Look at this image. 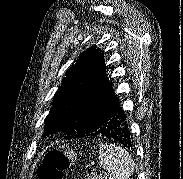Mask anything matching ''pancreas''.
<instances>
[{"label":"pancreas","mask_w":183,"mask_h":179,"mask_svg":"<svg viewBox=\"0 0 183 179\" xmlns=\"http://www.w3.org/2000/svg\"><path fill=\"white\" fill-rule=\"evenodd\" d=\"M85 179H107L105 176H102V175H100V176H97V175H87L86 176V178Z\"/></svg>","instance_id":"obj_1"}]
</instances>
